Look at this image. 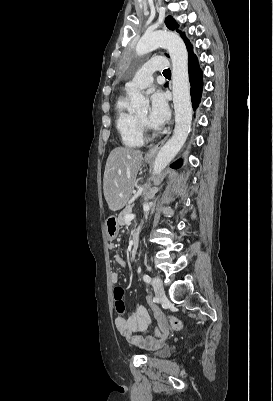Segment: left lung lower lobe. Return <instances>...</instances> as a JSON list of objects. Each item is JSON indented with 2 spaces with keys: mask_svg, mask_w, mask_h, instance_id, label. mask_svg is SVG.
<instances>
[{
  "mask_svg": "<svg viewBox=\"0 0 273 401\" xmlns=\"http://www.w3.org/2000/svg\"><path fill=\"white\" fill-rule=\"evenodd\" d=\"M187 49L189 51L188 68H189V80L191 85L190 93L192 99V106L193 108H196L201 100V94H202V87H203L202 71L199 68L196 56L193 54V49L191 44L187 46ZM171 167L175 169L179 168L180 162L178 161L176 163H173Z\"/></svg>",
  "mask_w": 273,
  "mask_h": 401,
  "instance_id": "0a47b994",
  "label": "left lung lower lobe"
}]
</instances>
